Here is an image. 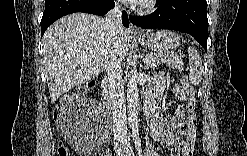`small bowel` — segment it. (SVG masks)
<instances>
[{
  "label": "small bowel",
  "instance_id": "c3829d8e",
  "mask_svg": "<svg viewBox=\"0 0 247 156\" xmlns=\"http://www.w3.org/2000/svg\"><path fill=\"white\" fill-rule=\"evenodd\" d=\"M165 90L163 74H157L147 91L146 107L152 112L148 119L150 134L154 141L168 149L170 155L189 156L193 151L196 137L194 116L185 117L183 102L186 100L184 91L179 86L172 88V94L181 103L176 113L167 118L157 110V103Z\"/></svg>",
  "mask_w": 247,
  "mask_h": 156
}]
</instances>
